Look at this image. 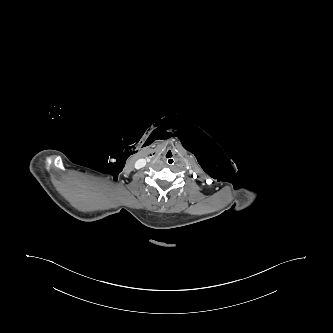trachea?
<instances>
[{
    "label": "trachea",
    "instance_id": "obj_1",
    "mask_svg": "<svg viewBox=\"0 0 333 333\" xmlns=\"http://www.w3.org/2000/svg\"><path fill=\"white\" fill-rule=\"evenodd\" d=\"M163 161L167 165H173L176 162V156L172 152H167L163 156Z\"/></svg>",
    "mask_w": 333,
    "mask_h": 333
}]
</instances>
